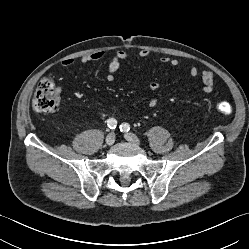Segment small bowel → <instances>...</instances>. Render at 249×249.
I'll return each mask as SVG.
<instances>
[{
  "label": "small bowel",
  "mask_w": 249,
  "mask_h": 249,
  "mask_svg": "<svg viewBox=\"0 0 249 249\" xmlns=\"http://www.w3.org/2000/svg\"><path fill=\"white\" fill-rule=\"evenodd\" d=\"M105 52L103 51H97L91 54L84 55L80 61L84 64L94 62V61H99L105 57ZM138 57L141 59H146L149 57V52L147 50H141L138 53ZM128 59V55L126 52L122 50H115L110 53V59L109 63L107 66V80L108 81H114L115 79V74L119 70L122 62L126 61ZM160 61L162 63H166L171 65L172 67H177L180 64V61L177 58H171L167 56H163L160 58ZM75 63L73 59H65L62 61V65L64 67H70ZM189 74L192 77H197L200 76L202 80V91L204 93H211L213 91V86H214V75L211 71L209 70H204L201 73L199 72L197 66L192 65L189 68ZM160 86L157 82H152L149 85L150 91L154 94L152 98L148 102V107L149 108H155L158 103L159 99L156 96V93L158 92Z\"/></svg>",
  "instance_id": "1"
}]
</instances>
